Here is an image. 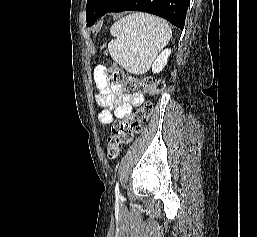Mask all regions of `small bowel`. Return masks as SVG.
<instances>
[{"instance_id": "1", "label": "small bowel", "mask_w": 257, "mask_h": 237, "mask_svg": "<svg viewBox=\"0 0 257 237\" xmlns=\"http://www.w3.org/2000/svg\"><path fill=\"white\" fill-rule=\"evenodd\" d=\"M94 79L100 91L97 102L105 109L99 114V120L103 124H111L114 119L123 120L130 116L133 107L141 105L144 97L140 93L127 94L123 88L110 83L106 74V68L98 65L94 71Z\"/></svg>"}]
</instances>
